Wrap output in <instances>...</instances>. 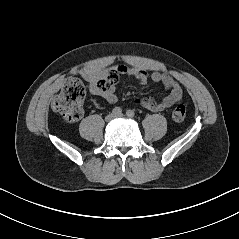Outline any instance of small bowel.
Segmentation results:
<instances>
[{"label": "small bowel", "mask_w": 239, "mask_h": 239, "mask_svg": "<svg viewBox=\"0 0 239 239\" xmlns=\"http://www.w3.org/2000/svg\"><path fill=\"white\" fill-rule=\"evenodd\" d=\"M121 77L134 79L140 84H145L148 81L162 84L169 91V94L161 101H155L151 98H141L138 100L140 106L152 112L164 111L180 103L183 99V91L180 85L168 74L160 72L149 74L143 68L128 67L121 64L103 71L89 70L84 73V78L89 83L91 93L104 98L109 103L117 101L115 85ZM99 80H108L103 89L97 86Z\"/></svg>", "instance_id": "obj_1"}]
</instances>
